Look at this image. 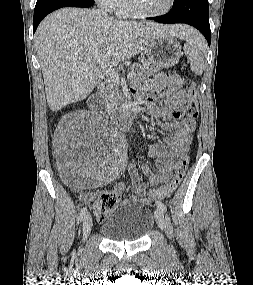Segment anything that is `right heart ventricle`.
Segmentation results:
<instances>
[{
    "instance_id": "e07e8e85",
    "label": "right heart ventricle",
    "mask_w": 253,
    "mask_h": 285,
    "mask_svg": "<svg viewBox=\"0 0 253 285\" xmlns=\"http://www.w3.org/2000/svg\"><path fill=\"white\" fill-rule=\"evenodd\" d=\"M114 11L116 15L120 17H129L132 15L128 8L126 0H120Z\"/></svg>"
}]
</instances>
